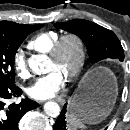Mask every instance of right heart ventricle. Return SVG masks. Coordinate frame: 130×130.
Segmentation results:
<instances>
[{
	"label": "right heart ventricle",
	"instance_id": "1",
	"mask_svg": "<svg viewBox=\"0 0 130 130\" xmlns=\"http://www.w3.org/2000/svg\"><path fill=\"white\" fill-rule=\"evenodd\" d=\"M60 37V34L54 30L42 31L34 35L29 43V48L40 52L49 53L55 41Z\"/></svg>",
	"mask_w": 130,
	"mask_h": 130
}]
</instances>
